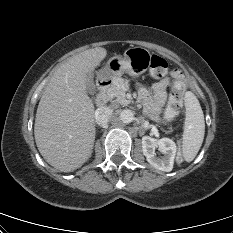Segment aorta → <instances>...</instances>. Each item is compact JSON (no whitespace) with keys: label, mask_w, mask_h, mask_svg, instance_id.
I'll list each match as a JSON object with an SVG mask.
<instances>
[{"label":"aorta","mask_w":233,"mask_h":233,"mask_svg":"<svg viewBox=\"0 0 233 233\" xmlns=\"http://www.w3.org/2000/svg\"><path fill=\"white\" fill-rule=\"evenodd\" d=\"M119 119L121 122L128 124L134 120V114L131 110L125 109L121 111Z\"/></svg>","instance_id":"obj_1"}]
</instances>
